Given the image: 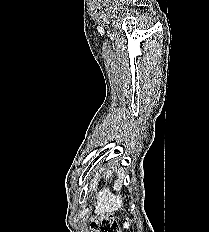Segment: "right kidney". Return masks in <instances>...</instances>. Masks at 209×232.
<instances>
[{
  "mask_svg": "<svg viewBox=\"0 0 209 232\" xmlns=\"http://www.w3.org/2000/svg\"><path fill=\"white\" fill-rule=\"evenodd\" d=\"M127 220H128V218H127ZM124 228H126V229L129 228V222H125V223H124Z\"/></svg>",
  "mask_w": 209,
  "mask_h": 232,
  "instance_id": "ca27d5eb",
  "label": "right kidney"
}]
</instances>
